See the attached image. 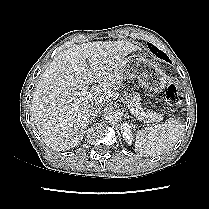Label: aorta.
Returning <instances> with one entry per match:
<instances>
[{"mask_svg":"<svg viewBox=\"0 0 209 209\" xmlns=\"http://www.w3.org/2000/svg\"><path fill=\"white\" fill-rule=\"evenodd\" d=\"M103 119L106 123L115 125L121 120V115L117 111L110 110L103 115Z\"/></svg>","mask_w":209,"mask_h":209,"instance_id":"762f6f07","label":"aorta"}]
</instances>
